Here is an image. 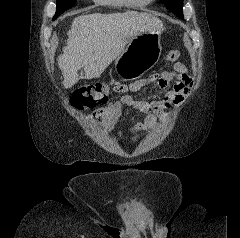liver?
<instances>
[{
	"mask_svg": "<svg viewBox=\"0 0 240 238\" xmlns=\"http://www.w3.org/2000/svg\"><path fill=\"white\" fill-rule=\"evenodd\" d=\"M163 30L158 17L137 11L77 16L63 54L58 57L65 89L78 82L80 69L84 68L86 79L98 78L131 39L144 32Z\"/></svg>",
	"mask_w": 240,
	"mask_h": 238,
	"instance_id": "1",
	"label": "liver"
}]
</instances>
